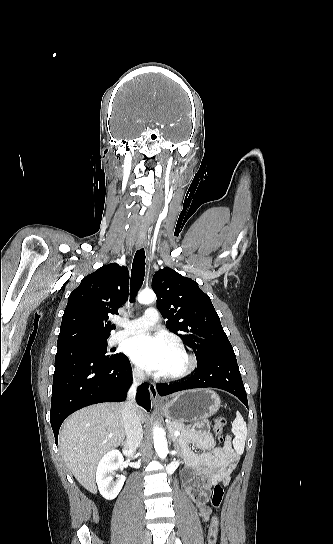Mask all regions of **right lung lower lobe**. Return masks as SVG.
<instances>
[{
    "instance_id": "1",
    "label": "right lung lower lobe",
    "mask_w": 333,
    "mask_h": 544,
    "mask_svg": "<svg viewBox=\"0 0 333 544\" xmlns=\"http://www.w3.org/2000/svg\"><path fill=\"white\" fill-rule=\"evenodd\" d=\"M118 355L110 361L100 359L83 343L57 350L50 411L56 444L62 422L73 412L96 403L125 400L132 368L124 354ZM137 402L150 410L147 383L138 388Z\"/></svg>"
}]
</instances>
